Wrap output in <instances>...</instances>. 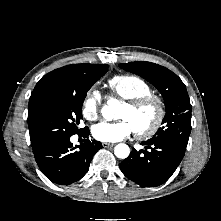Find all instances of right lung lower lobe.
<instances>
[{"mask_svg":"<svg viewBox=\"0 0 221 221\" xmlns=\"http://www.w3.org/2000/svg\"><path fill=\"white\" fill-rule=\"evenodd\" d=\"M88 134V128L78 132L84 137ZM70 137L58 138L33 150L40 170L56 184L68 185L80 180L88 172L92 157L102 146L101 142L90 139L73 146Z\"/></svg>","mask_w":221,"mask_h":221,"instance_id":"obj_1","label":"right lung lower lobe"}]
</instances>
